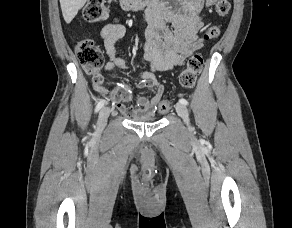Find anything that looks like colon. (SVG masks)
I'll return each instance as SVG.
<instances>
[{"mask_svg":"<svg viewBox=\"0 0 292 228\" xmlns=\"http://www.w3.org/2000/svg\"><path fill=\"white\" fill-rule=\"evenodd\" d=\"M231 3L229 0H216L215 12L220 17H225L230 13ZM106 4L104 0H89L82 11L83 18L88 22H96L104 17ZM220 35V27L212 25L204 31V38L212 40ZM75 54L83 70L92 76L95 89L104 92L103 77L101 68L104 64V55L99 45L92 39L86 38L79 41L75 47ZM204 58L200 53H194L188 59L186 68L180 75V83L185 88H193L197 78L202 71ZM112 97L116 101H121L126 97L123 90L113 92ZM171 108V101L163 99L158 106L159 113H166Z\"/></svg>","mask_w":292,"mask_h":228,"instance_id":"colon-1","label":"colon"}]
</instances>
